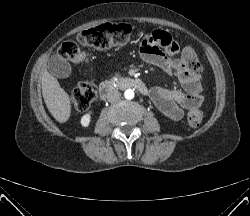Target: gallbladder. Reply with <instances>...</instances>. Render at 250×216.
I'll list each match as a JSON object with an SVG mask.
<instances>
[{
    "instance_id": "obj_1",
    "label": "gallbladder",
    "mask_w": 250,
    "mask_h": 216,
    "mask_svg": "<svg viewBox=\"0 0 250 216\" xmlns=\"http://www.w3.org/2000/svg\"><path fill=\"white\" fill-rule=\"evenodd\" d=\"M48 69L57 78L69 77L72 72L70 63L59 55H54L50 58Z\"/></svg>"
}]
</instances>
